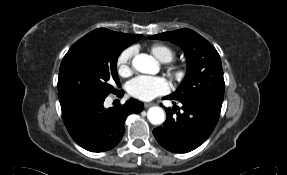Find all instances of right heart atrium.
<instances>
[{
  "instance_id": "obj_1",
  "label": "right heart atrium",
  "mask_w": 287,
  "mask_h": 175,
  "mask_svg": "<svg viewBox=\"0 0 287 175\" xmlns=\"http://www.w3.org/2000/svg\"><path fill=\"white\" fill-rule=\"evenodd\" d=\"M134 48L128 47L122 50L116 58V69L121 77H129L133 72L132 57L134 55Z\"/></svg>"
}]
</instances>
